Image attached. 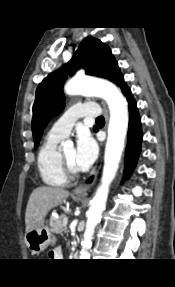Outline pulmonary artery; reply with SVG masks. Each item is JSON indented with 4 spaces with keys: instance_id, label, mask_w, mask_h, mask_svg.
Returning <instances> with one entry per match:
<instances>
[{
    "instance_id": "e3ab8cb5",
    "label": "pulmonary artery",
    "mask_w": 175,
    "mask_h": 287,
    "mask_svg": "<svg viewBox=\"0 0 175 287\" xmlns=\"http://www.w3.org/2000/svg\"><path fill=\"white\" fill-rule=\"evenodd\" d=\"M99 115L100 108L97 104L85 103L73 105L52 125L50 134L65 138L79 118Z\"/></svg>"
}]
</instances>
